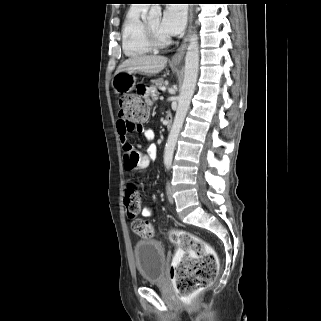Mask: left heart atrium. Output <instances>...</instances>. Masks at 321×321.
<instances>
[{
  "mask_svg": "<svg viewBox=\"0 0 321 321\" xmlns=\"http://www.w3.org/2000/svg\"><path fill=\"white\" fill-rule=\"evenodd\" d=\"M186 8L182 4H169L163 12L160 29L168 36L179 34L186 23Z\"/></svg>",
  "mask_w": 321,
  "mask_h": 321,
  "instance_id": "obj_1",
  "label": "left heart atrium"
}]
</instances>
